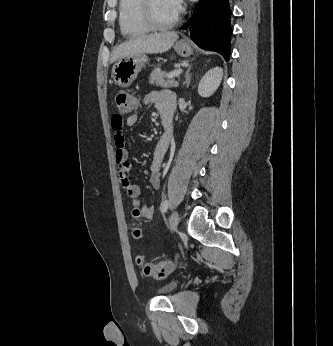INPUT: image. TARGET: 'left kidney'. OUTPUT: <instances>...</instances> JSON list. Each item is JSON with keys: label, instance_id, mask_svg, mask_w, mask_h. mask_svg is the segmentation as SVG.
Masks as SVG:
<instances>
[{"label": "left kidney", "instance_id": "5707ae66", "mask_svg": "<svg viewBox=\"0 0 333 346\" xmlns=\"http://www.w3.org/2000/svg\"><path fill=\"white\" fill-rule=\"evenodd\" d=\"M223 76L221 67L210 69L201 79L198 85V93L202 97L211 96L219 87Z\"/></svg>", "mask_w": 333, "mask_h": 346}]
</instances>
